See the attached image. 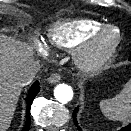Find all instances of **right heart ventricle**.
I'll return each mask as SVG.
<instances>
[{
    "mask_svg": "<svg viewBox=\"0 0 131 131\" xmlns=\"http://www.w3.org/2000/svg\"><path fill=\"white\" fill-rule=\"evenodd\" d=\"M102 25L104 23L94 19L62 20L49 28L47 36L51 45L61 49H72Z\"/></svg>",
    "mask_w": 131,
    "mask_h": 131,
    "instance_id": "e07e8e85",
    "label": "right heart ventricle"
}]
</instances>
